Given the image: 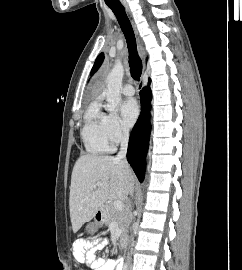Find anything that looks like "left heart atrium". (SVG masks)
Returning <instances> with one entry per match:
<instances>
[{"instance_id":"left-heart-atrium-1","label":"left heart atrium","mask_w":242,"mask_h":270,"mask_svg":"<svg viewBox=\"0 0 242 270\" xmlns=\"http://www.w3.org/2000/svg\"><path fill=\"white\" fill-rule=\"evenodd\" d=\"M121 114L126 126H132L139 115V106L135 99L125 100L121 105Z\"/></svg>"}]
</instances>
